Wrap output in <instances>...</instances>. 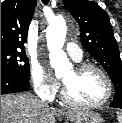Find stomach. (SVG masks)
Masks as SVG:
<instances>
[{"label": "stomach", "mask_w": 122, "mask_h": 123, "mask_svg": "<svg viewBox=\"0 0 122 123\" xmlns=\"http://www.w3.org/2000/svg\"><path fill=\"white\" fill-rule=\"evenodd\" d=\"M73 123H103V118L93 111H85L81 118L73 121Z\"/></svg>", "instance_id": "stomach-1"}]
</instances>
